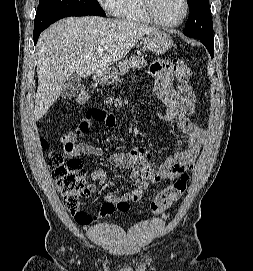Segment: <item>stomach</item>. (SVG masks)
<instances>
[{
	"label": "stomach",
	"mask_w": 253,
	"mask_h": 271,
	"mask_svg": "<svg viewBox=\"0 0 253 271\" xmlns=\"http://www.w3.org/2000/svg\"><path fill=\"white\" fill-rule=\"evenodd\" d=\"M145 49L155 55H162L172 46L171 37L163 31H153L147 33L144 38ZM100 83L113 84L119 79V72L116 68H108L102 73L96 74Z\"/></svg>",
	"instance_id": "stomach-1"
}]
</instances>
